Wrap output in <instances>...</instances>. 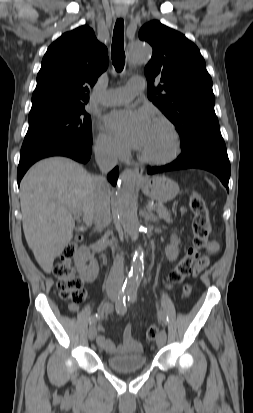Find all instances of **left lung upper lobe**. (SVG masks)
Returning <instances> with one entry per match:
<instances>
[{
	"label": "left lung upper lobe",
	"instance_id": "obj_1",
	"mask_svg": "<svg viewBox=\"0 0 253 413\" xmlns=\"http://www.w3.org/2000/svg\"><path fill=\"white\" fill-rule=\"evenodd\" d=\"M139 38L153 48L144 70L148 98L176 126L182 153L224 142L214 111L212 79L197 46L156 20L140 29Z\"/></svg>",
	"mask_w": 253,
	"mask_h": 413
}]
</instances>
